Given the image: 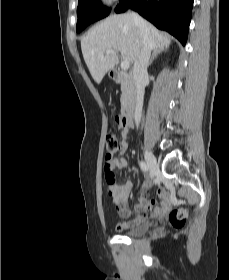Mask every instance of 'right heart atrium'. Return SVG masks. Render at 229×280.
<instances>
[{
	"instance_id": "1",
	"label": "right heart atrium",
	"mask_w": 229,
	"mask_h": 280,
	"mask_svg": "<svg viewBox=\"0 0 229 280\" xmlns=\"http://www.w3.org/2000/svg\"><path fill=\"white\" fill-rule=\"evenodd\" d=\"M104 5L110 7L112 5H115L119 2V0H102Z\"/></svg>"
}]
</instances>
